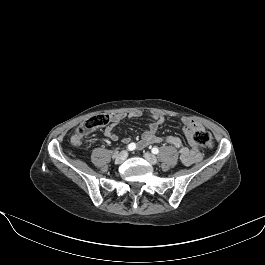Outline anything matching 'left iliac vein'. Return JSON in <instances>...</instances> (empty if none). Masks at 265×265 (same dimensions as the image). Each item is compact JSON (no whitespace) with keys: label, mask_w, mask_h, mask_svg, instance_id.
Listing matches in <instances>:
<instances>
[{"label":"left iliac vein","mask_w":265,"mask_h":265,"mask_svg":"<svg viewBox=\"0 0 265 265\" xmlns=\"http://www.w3.org/2000/svg\"><path fill=\"white\" fill-rule=\"evenodd\" d=\"M144 158L152 165H155L158 162L157 158L153 154L148 152L144 154Z\"/></svg>","instance_id":"1"}]
</instances>
